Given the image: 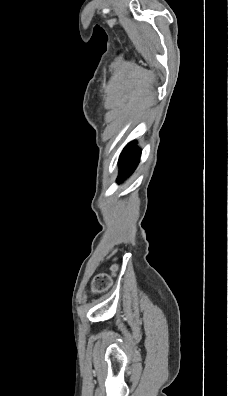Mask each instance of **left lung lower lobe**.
Instances as JSON below:
<instances>
[{
	"label": "left lung lower lobe",
	"instance_id": "1",
	"mask_svg": "<svg viewBox=\"0 0 228 396\" xmlns=\"http://www.w3.org/2000/svg\"><path fill=\"white\" fill-rule=\"evenodd\" d=\"M141 150L135 145L134 142L129 143L122 151L119 164L120 171L117 182L120 183L126 179L136 168L139 163Z\"/></svg>",
	"mask_w": 228,
	"mask_h": 396
}]
</instances>
